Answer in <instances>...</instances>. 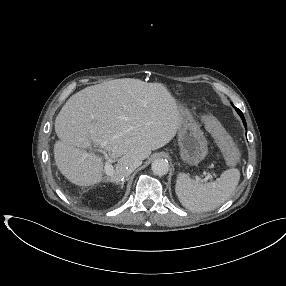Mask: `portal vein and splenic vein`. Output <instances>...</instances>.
<instances>
[{
    "label": "portal vein and splenic vein",
    "instance_id": "portal-vein-and-splenic-vein-1",
    "mask_svg": "<svg viewBox=\"0 0 286 286\" xmlns=\"http://www.w3.org/2000/svg\"><path fill=\"white\" fill-rule=\"evenodd\" d=\"M102 146H105V143L102 144ZM104 169H105L106 174L109 175V176L112 175L113 172H114V168H113V166H112V164L110 163L109 160H107V161L105 162ZM210 178H212V176H211V174H208V175L204 178V181H207V180L210 179Z\"/></svg>",
    "mask_w": 286,
    "mask_h": 286
}]
</instances>
